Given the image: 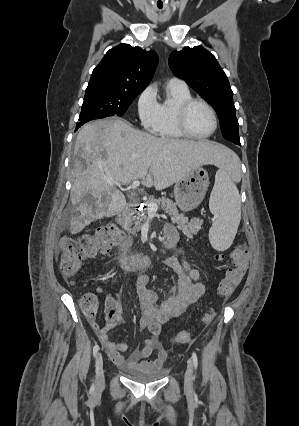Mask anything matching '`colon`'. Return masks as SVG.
I'll return each instance as SVG.
<instances>
[{
    "instance_id": "5ec220e1",
    "label": "colon",
    "mask_w": 299,
    "mask_h": 426,
    "mask_svg": "<svg viewBox=\"0 0 299 426\" xmlns=\"http://www.w3.org/2000/svg\"><path fill=\"white\" fill-rule=\"evenodd\" d=\"M122 233L113 224H105L96 229L93 234L83 235L79 238L64 237L60 240V268L67 278L75 276L83 262L99 253H108L122 240ZM217 255L216 258H220ZM232 266L226 270L218 286L220 296L230 297L241 283L248 266L249 254L245 245H239L231 253ZM83 311L88 316H94L98 309V299L92 294H85L81 299ZM212 315L206 317L209 321ZM192 341L189 331L177 333L172 342L174 344H187Z\"/></svg>"
}]
</instances>
